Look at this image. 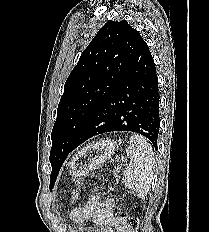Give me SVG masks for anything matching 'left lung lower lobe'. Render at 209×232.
<instances>
[{
    "label": "left lung lower lobe",
    "mask_w": 209,
    "mask_h": 232,
    "mask_svg": "<svg viewBox=\"0 0 209 232\" xmlns=\"http://www.w3.org/2000/svg\"><path fill=\"white\" fill-rule=\"evenodd\" d=\"M159 111L155 63L148 45L141 38L129 68L79 130L71 151L96 135L113 131L139 133L157 148Z\"/></svg>",
    "instance_id": "1"
}]
</instances>
